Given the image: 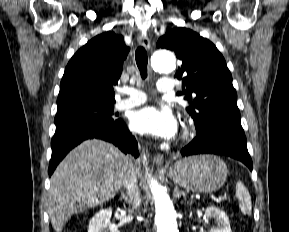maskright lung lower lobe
I'll return each mask as SVG.
<instances>
[{
	"label": "right lung lower lobe",
	"mask_w": 289,
	"mask_h": 232,
	"mask_svg": "<svg viewBox=\"0 0 289 232\" xmlns=\"http://www.w3.org/2000/svg\"><path fill=\"white\" fill-rule=\"evenodd\" d=\"M103 139L113 143L125 154L134 157L139 155L135 138L126 128V125L117 120L112 124H70L56 127V132L51 141L52 156L48 169L51 175L59 162L75 146L86 139Z\"/></svg>",
	"instance_id": "98d812e1"
}]
</instances>
